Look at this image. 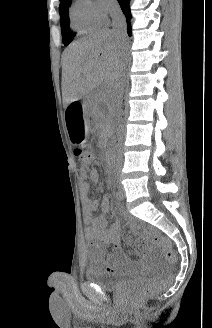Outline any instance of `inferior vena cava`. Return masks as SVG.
<instances>
[{
	"label": "inferior vena cava",
	"instance_id": "obj_1",
	"mask_svg": "<svg viewBox=\"0 0 212 328\" xmlns=\"http://www.w3.org/2000/svg\"><path fill=\"white\" fill-rule=\"evenodd\" d=\"M109 13L112 18V26H113L114 34L119 39L124 41L126 37V20L119 5L117 3L112 4L110 6ZM123 94H124V79H123V75L120 73L112 93V101L114 104L115 114H116V124H117L119 144L122 142L123 133H124L122 110H121ZM118 163H119V167H117V170H120V167H122V164H120V160ZM118 174H121V171H118Z\"/></svg>",
	"mask_w": 212,
	"mask_h": 328
}]
</instances>
